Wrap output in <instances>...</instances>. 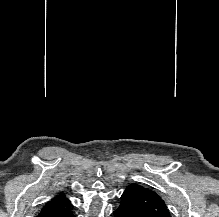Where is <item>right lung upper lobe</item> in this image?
<instances>
[{
	"label": "right lung upper lobe",
	"instance_id": "cb5924a9",
	"mask_svg": "<svg viewBox=\"0 0 219 217\" xmlns=\"http://www.w3.org/2000/svg\"><path fill=\"white\" fill-rule=\"evenodd\" d=\"M72 204L63 193L58 194L48 201L41 209L37 217H49L71 209Z\"/></svg>",
	"mask_w": 219,
	"mask_h": 217
}]
</instances>
